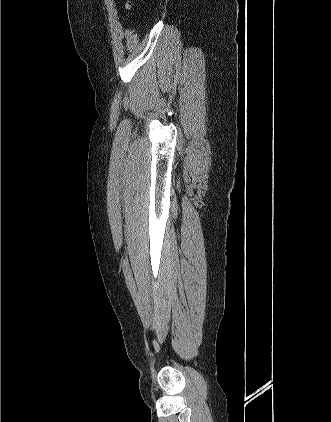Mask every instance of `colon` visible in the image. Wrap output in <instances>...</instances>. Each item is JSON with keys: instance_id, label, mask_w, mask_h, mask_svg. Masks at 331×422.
Listing matches in <instances>:
<instances>
[{"instance_id": "1", "label": "colon", "mask_w": 331, "mask_h": 422, "mask_svg": "<svg viewBox=\"0 0 331 422\" xmlns=\"http://www.w3.org/2000/svg\"><path fill=\"white\" fill-rule=\"evenodd\" d=\"M132 6V0H125V7L129 10Z\"/></svg>"}]
</instances>
